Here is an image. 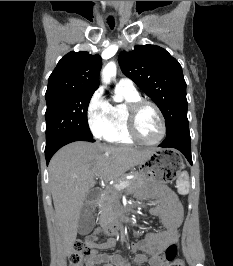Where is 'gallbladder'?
<instances>
[{
  "label": "gallbladder",
  "mask_w": 233,
  "mask_h": 266,
  "mask_svg": "<svg viewBox=\"0 0 233 266\" xmlns=\"http://www.w3.org/2000/svg\"><path fill=\"white\" fill-rule=\"evenodd\" d=\"M95 224L94 215L89 204L85 203L80 211L79 221H78V233L80 235L89 234Z\"/></svg>",
  "instance_id": "obj_1"
}]
</instances>
